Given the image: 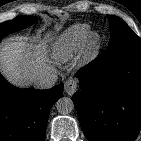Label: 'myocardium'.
I'll list each match as a JSON object with an SVG mask.
<instances>
[{
	"instance_id": "obj_1",
	"label": "myocardium",
	"mask_w": 141,
	"mask_h": 141,
	"mask_svg": "<svg viewBox=\"0 0 141 141\" xmlns=\"http://www.w3.org/2000/svg\"><path fill=\"white\" fill-rule=\"evenodd\" d=\"M101 43V36L96 32H90L83 47L84 57L86 59H91L94 57L95 54L99 51Z\"/></svg>"
}]
</instances>
